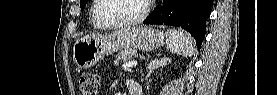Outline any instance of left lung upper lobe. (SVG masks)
<instances>
[{"label": "left lung upper lobe", "instance_id": "left-lung-upper-lobe-1", "mask_svg": "<svg viewBox=\"0 0 277 95\" xmlns=\"http://www.w3.org/2000/svg\"><path fill=\"white\" fill-rule=\"evenodd\" d=\"M87 2H88V0H80L81 11L84 10V7H85Z\"/></svg>", "mask_w": 277, "mask_h": 95}]
</instances>
